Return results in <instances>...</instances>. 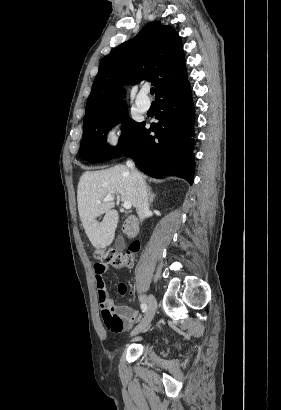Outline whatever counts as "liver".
<instances>
[{
	"label": "liver",
	"mask_w": 281,
	"mask_h": 410,
	"mask_svg": "<svg viewBox=\"0 0 281 410\" xmlns=\"http://www.w3.org/2000/svg\"><path fill=\"white\" fill-rule=\"evenodd\" d=\"M107 196H120L136 207V186L129 168L117 165L109 169L86 171L80 177L77 191L78 212L91 244L99 249L109 246L115 237L118 212L113 201L101 202ZM105 214L101 222L97 218Z\"/></svg>",
	"instance_id": "liver-1"
}]
</instances>
